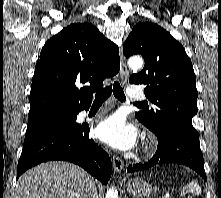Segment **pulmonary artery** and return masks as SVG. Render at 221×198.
Wrapping results in <instances>:
<instances>
[{"label":"pulmonary artery","instance_id":"1","mask_svg":"<svg viewBox=\"0 0 221 198\" xmlns=\"http://www.w3.org/2000/svg\"><path fill=\"white\" fill-rule=\"evenodd\" d=\"M127 96L130 99H134V100H142L145 98L143 91L137 87H129L127 89ZM84 114H86V113H84Z\"/></svg>","mask_w":221,"mask_h":198}]
</instances>
